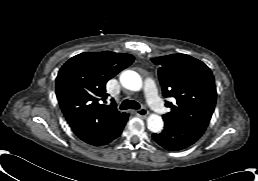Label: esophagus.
I'll return each instance as SVG.
<instances>
[{"label":"esophagus","instance_id":"34e87169","mask_svg":"<svg viewBox=\"0 0 258 181\" xmlns=\"http://www.w3.org/2000/svg\"><path fill=\"white\" fill-rule=\"evenodd\" d=\"M135 114L140 117H146L148 115V110L145 108H141L135 111Z\"/></svg>","mask_w":258,"mask_h":181}]
</instances>
